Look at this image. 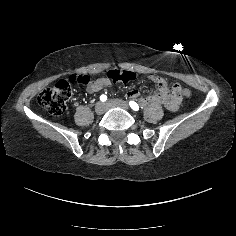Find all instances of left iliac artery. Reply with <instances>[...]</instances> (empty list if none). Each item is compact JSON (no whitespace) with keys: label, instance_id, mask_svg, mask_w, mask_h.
Returning <instances> with one entry per match:
<instances>
[{"label":"left iliac artery","instance_id":"1","mask_svg":"<svg viewBox=\"0 0 236 236\" xmlns=\"http://www.w3.org/2000/svg\"><path fill=\"white\" fill-rule=\"evenodd\" d=\"M129 105H130V107H131L134 111H138V110H139V106H138V104H137L136 102L130 101V102H129Z\"/></svg>","mask_w":236,"mask_h":236}]
</instances>
